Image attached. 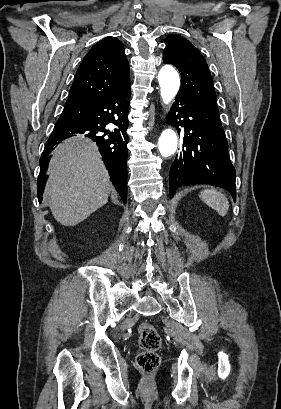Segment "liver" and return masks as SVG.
Wrapping results in <instances>:
<instances>
[{"label": "liver", "mask_w": 281, "mask_h": 409, "mask_svg": "<svg viewBox=\"0 0 281 409\" xmlns=\"http://www.w3.org/2000/svg\"><path fill=\"white\" fill-rule=\"evenodd\" d=\"M44 198L52 215L65 227L85 221L109 198L111 182L94 142L72 136L53 152Z\"/></svg>", "instance_id": "6515ba94"}]
</instances>
